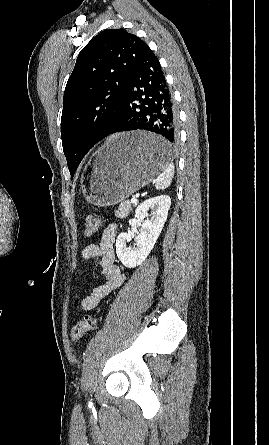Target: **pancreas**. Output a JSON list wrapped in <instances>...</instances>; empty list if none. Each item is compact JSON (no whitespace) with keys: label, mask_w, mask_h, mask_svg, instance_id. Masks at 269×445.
Wrapping results in <instances>:
<instances>
[{"label":"pancreas","mask_w":269,"mask_h":445,"mask_svg":"<svg viewBox=\"0 0 269 445\" xmlns=\"http://www.w3.org/2000/svg\"><path fill=\"white\" fill-rule=\"evenodd\" d=\"M132 207L133 205L130 202L127 201L122 202L119 205L118 210L115 212V214L118 218H125L128 216L130 211H132Z\"/></svg>","instance_id":"cf45deb5"}]
</instances>
